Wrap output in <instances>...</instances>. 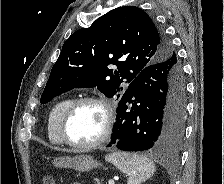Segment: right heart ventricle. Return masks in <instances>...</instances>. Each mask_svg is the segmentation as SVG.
I'll list each match as a JSON object with an SVG mask.
<instances>
[{"instance_id":"right-heart-ventricle-1","label":"right heart ventricle","mask_w":224,"mask_h":184,"mask_svg":"<svg viewBox=\"0 0 224 184\" xmlns=\"http://www.w3.org/2000/svg\"><path fill=\"white\" fill-rule=\"evenodd\" d=\"M72 100L71 97L59 100L53 105L49 112L47 119V135L49 141L54 145H62L64 143L60 136L59 123L63 112Z\"/></svg>"}]
</instances>
